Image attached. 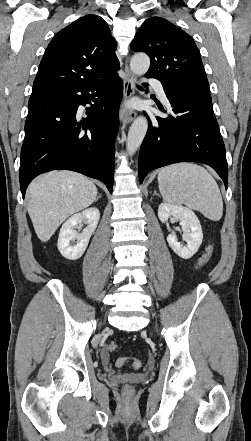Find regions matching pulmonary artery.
Segmentation results:
<instances>
[{"label": "pulmonary artery", "instance_id": "obj_1", "mask_svg": "<svg viewBox=\"0 0 251 441\" xmlns=\"http://www.w3.org/2000/svg\"><path fill=\"white\" fill-rule=\"evenodd\" d=\"M150 84L156 90V92H157L158 96L161 98V100L163 102L167 103L168 99L166 97L162 83L158 80L152 79V80H150Z\"/></svg>", "mask_w": 251, "mask_h": 441}]
</instances>
